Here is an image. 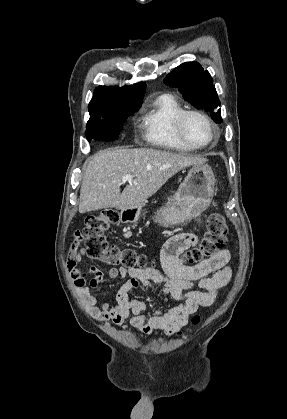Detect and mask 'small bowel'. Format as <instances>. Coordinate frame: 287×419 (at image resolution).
I'll use <instances>...</instances> for the list:
<instances>
[{
  "instance_id": "obj_1",
  "label": "small bowel",
  "mask_w": 287,
  "mask_h": 419,
  "mask_svg": "<svg viewBox=\"0 0 287 419\" xmlns=\"http://www.w3.org/2000/svg\"><path fill=\"white\" fill-rule=\"evenodd\" d=\"M198 240V236L192 232H181L166 241L161 251L166 276L153 268H111L108 272L110 278L126 279L116 295V303L112 305L99 303L90 292V288H95L101 283L103 272L95 266L87 270L78 268L83 257L78 233L71 243L67 266L75 287L93 318L111 321L122 328L127 327L124 323L129 319L130 325L143 334L163 331L171 335L188 323L189 317L199 306L211 305L218 291L231 278L228 249L194 266L182 264L180 254L196 245ZM154 283L163 284L164 294L180 304L166 312L156 310L147 317L148 303L144 300L129 299V293L140 284L152 288Z\"/></svg>"
}]
</instances>
